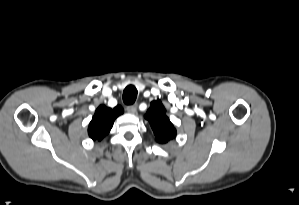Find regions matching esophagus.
<instances>
[{
	"mask_svg": "<svg viewBox=\"0 0 299 205\" xmlns=\"http://www.w3.org/2000/svg\"><path fill=\"white\" fill-rule=\"evenodd\" d=\"M126 110L130 114H135L137 111V104L127 106Z\"/></svg>",
	"mask_w": 299,
	"mask_h": 205,
	"instance_id": "34e87169",
	"label": "esophagus"
}]
</instances>
